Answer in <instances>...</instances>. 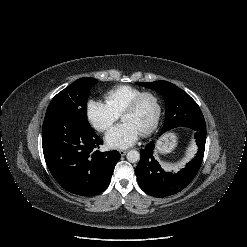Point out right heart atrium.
Wrapping results in <instances>:
<instances>
[{
    "instance_id": "d8ad5b80",
    "label": "right heart atrium",
    "mask_w": 247,
    "mask_h": 247,
    "mask_svg": "<svg viewBox=\"0 0 247 247\" xmlns=\"http://www.w3.org/2000/svg\"><path fill=\"white\" fill-rule=\"evenodd\" d=\"M86 117L96 130L104 132L118 120L119 115L105 102L90 99L86 103Z\"/></svg>"
}]
</instances>
